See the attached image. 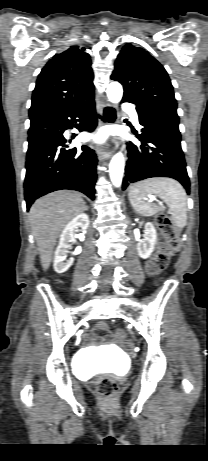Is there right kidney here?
Wrapping results in <instances>:
<instances>
[{
  "instance_id": "1",
  "label": "right kidney",
  "mask_w": 208,
  "mask_h": 461,
  "mask_svg": "<svg viewBox=\"0 0 208 461\" xmlns=\"http://www.w3.org/2000/svg\"><path fill=\"white\" fill-rule=\"evenodd\" d=\"M90 221L87 214L81 213L73 218L64 228L60 235L59 245L55 251L54 257V270L61 274L66 272L70 266L74 262V258H70L66 260L68 248L70 244L75 241V232L77 231L78 227H80L83 231L89 227ZM81 247L78 246L75 251L74 255H78L81 253Z\"/></svg>"
}]
</instances>
